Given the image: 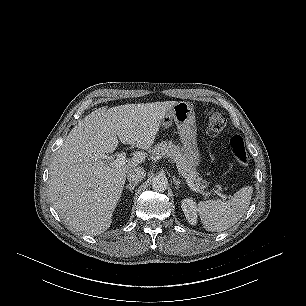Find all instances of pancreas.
Wrapping results in <instances>:
<instances>
[{
  "instance_id": "pancreas-1",
  "label": "pancreas",
  "mask_w": 306,
  "mask_h": 306,
  "mask_svg": "<svg viewBox=\"0 0 306 306\" xmlns=\"http://www.w3.org/2000/svg\"><path fill=\"white\" fill-rule=\"evenodd\" d=\"M151 153L171 159L180 168L181 173L200 189L203 194L207 195L204 192L208 184L207 181L199 177L193 162L184 154L182 148L176 146L172 141H162L152 148Z\"/></svg>"
}]
</instances>
